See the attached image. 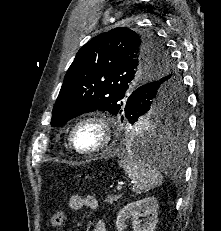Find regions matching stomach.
Returning <instances> with one entry per match:
<instances>
[{"label": "stomach", "instance_id": "0dacf381", "mask_svg": "<svg viewBox=\"0 0 221 231\" xmlns=\"http://www.w3.org/2000/svg\"><path fill=\"white\" fill-rule=\"evenodd\" d=\"M137 128L140 129V131H138L140 133L146 131V126L145 125L138 126ZM131 131H134V128H132Z\"/></svg>", "mask_w": 221, "mask_h": 231}]
</instances>
